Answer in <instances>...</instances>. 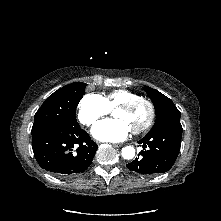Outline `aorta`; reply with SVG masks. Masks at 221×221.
<instances>
[{"label": "aorta", "instance_id": "1", "mask_svg": "<svg viewBox=\"0 0 221 221\" xmlns=\"http://www.w3.org/2000/svg\"><path fill=\"white\" fill-rule=\"evenodd\" d=\"M122 157L126 160H131L135 156V149L132 146H126L122 148Z\"/></svg>", "mask_w": 221, "mask_h": 221}]
</instances>
